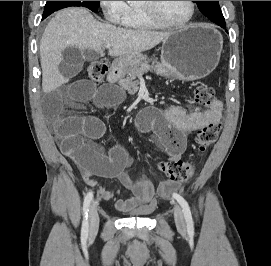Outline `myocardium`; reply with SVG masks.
Masks as SVG:
<instances>
[{
    "label": "myocardium",
    "instance_id": "1",
    "mask_svg": "<svg viewBox=\"0 0 271 266\" xmlns=\"http://www.w3.org/2000/svg\"><path fill=\"white\" fill-rule=\"evenodd\" d=\"M190 5V12L186 20L180 23H172L167 20H165L162 16L159 15L157 10L155 9L154 6V1H143L142 5L140 6L143 13L156 25L161 26V27H166V28H183L188 26L195 15V3L194 1H188Z\"/></svg>",
    "mask_w": 271,
    "mask_h": 266
}]
</instances>
